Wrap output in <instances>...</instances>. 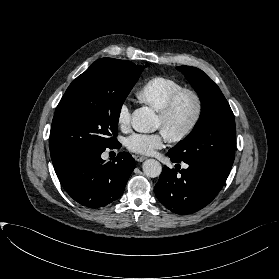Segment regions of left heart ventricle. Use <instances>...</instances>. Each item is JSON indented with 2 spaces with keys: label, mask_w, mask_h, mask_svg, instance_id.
<instances>
[{
  "label": "left heart ventricle",
  "mask_w": 279,
  "mask_h": 279,
  "mask_svg": "<svg viewBox=\"0 0 279 279\" xmlns=\"http://www.w3.org/2000/svg\"><path fill=\"white\" fill-rule=\"evenodd\" d=\"M195 112L194 100L187 95L180 97L176 103L175 109L171 118L168 121H162L157 118V128L160 129L166 136L179 133L191 121Z\"/></svg>",
  "instance_id": "left-heart-ventricle-1"
}]
</instances>
